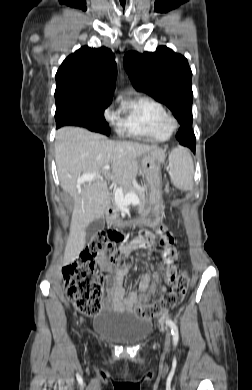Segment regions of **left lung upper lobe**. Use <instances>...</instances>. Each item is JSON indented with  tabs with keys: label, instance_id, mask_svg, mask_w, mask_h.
<instances>
[{
	"label": "left lung upper lobe",
	"instance_id": "obj_1",
	"mask_svg": "<svg viewBox=\"0 0 252 390\" xmlns=\"http://www.w3.org/2000/svg\"><path fill=\"white\" fill-rule=\"evenodd\" d=\"M124 68L135 89L165 104L181 125L192 124V72L184 56L166 46L143 54L129 51Z\"/></svg>",
	"mask_w": 252,
	"mask_h": 390
}]
</instances>
